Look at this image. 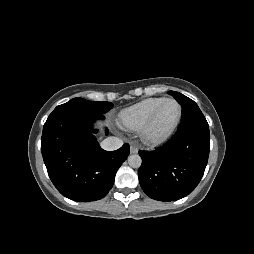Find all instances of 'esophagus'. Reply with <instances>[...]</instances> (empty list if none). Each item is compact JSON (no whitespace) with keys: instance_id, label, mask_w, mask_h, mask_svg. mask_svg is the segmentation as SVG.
Masks as SVG:
<instances>
[{"instance_id":"obj_1","label":"esophagus","mask_w":254,"mask_h":254,"mask_svg":"<svg viewBox=\"0 0 254 254\" xmlns=\"http://www.w3.org/2000/svg\"><path fill=\"white\" fill-rule=\"evenodd\" d=\"M138 152V148L134 145L130 146V153L131 154H136Z\"/></svg>"}]
</instances>
